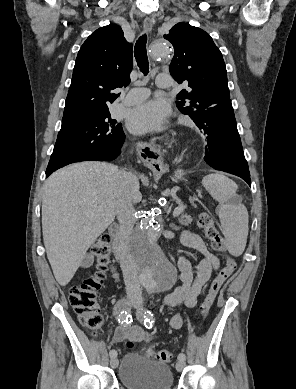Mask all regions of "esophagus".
Here are the masks:
<instances>
[{
  "label": "esophagus",
  "instance_id": "34e87169",
  "mask_svg": "<svg viewBox=\"0 0 296 389\" xmlns=\"http://www.w3.org/2000/svg\"><path fill=\"white\" fill-rule=\"evenodd\" d=\"M144 30L150 32L153 27V22L150 18H145ZM162 135L166 134L165 130L161 131ZM140 152L144 155L143 165L146 169H162L163 172L168 170V165L164 163L162 152L155 145L144 142L143 139L139 140Z\"/></svg>",
  "mask_w": 296,
  "mask_h": 389
}]
</instances>
